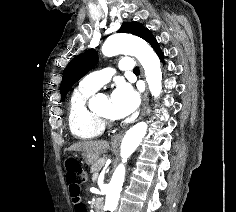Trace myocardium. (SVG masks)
I'll list each match as a JSON object with an SVG mask.
<instances>
[{
  "mask_svg": "<svg viewBox=\"0 0 236 212\" xmlns=\"http://www.w3.org/2000/svg\"><path fill=\"white\" fill-rule=\"evenodd\" d=\"M95 114L104 125L112 126L116 123V119L114 117L102 114L100 112H96Z\"/></svg>",
  "mask_w": 236,
  "mask_h": 212,
  "instance_id": "1",
  "label": "myocardium"
}]
</instances>
